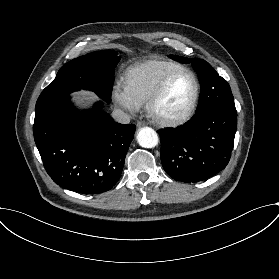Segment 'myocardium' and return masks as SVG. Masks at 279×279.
Instances as JSON below:
<instances>
[{"mask_svg":"<svg viewBox=\"0 0 279 279\" xmlns=\"http://www.w3.org/2000/svg\"><path fill=\"white\" fill-rule=\"evenodd\" d=\"M183 73H187V74L191 75V77L193 78V82H194L193 96H192L189 104L186 106V108L183 110V112L180 113L179 115H177L175 117H171V118L162 116L161 114L158 113L157 106H158L159 102L161 101V99L163 98V96H164L165 92L167 91L171 82L176 77H178L179 75H181ZM199 95H200V84H199V80H198L196 74L188 68L176 70V71L168 74L167 76H165L163 78V80L160 82V84L158 85V87L154 90V92L150 96V98L148 100V105H147L148 116L150 117V119L153 122H155L156 124L163 126V127L174 128V127L183 125L194 114L197 104H198Z\"/></svg>","mask_w":279,"mask_h":279,"instance_id":"1","label":"myocardium"}]
</instances>
